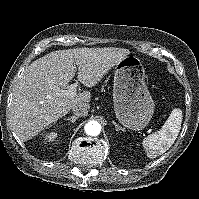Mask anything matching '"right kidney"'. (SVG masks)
Returning <instances> with one entry per match:
<instances>
[{
  "instance_id": "1",
  "label": "right kidney",
  "mask_w": 199,
  "mask_h": 199,
  "mask_svg": "<svg viewBox=\"0 0 199 199\" xmlns=\"http://www.w3.org/2000/svg\"><path fill=\"white\" fill-rule=\"evenodd\" d=\"M57 136H58L57 132H49L44 135V140L51 142L54 141L57 138Z\"/></svg>"
}]
</instances>
